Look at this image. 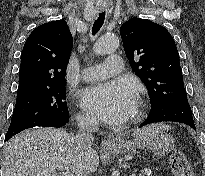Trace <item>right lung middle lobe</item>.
Returning <instances> with one entry per match:
<instances>
[{"mask_svg": "<svg viewBox=\"0 0 205 176\" xmlns=\"http://www.w3.org/2000/svg\"><path fill=\"white\" fill-rule=\"evenodd\" d=\"M65 98V84L17 94L5 141L24 129L69 119Z\"/></svg>", "mask_w": 205, "mask_h": 176, "instance_id": "1", "label": "right lung middle lobe"}]
</instances>
